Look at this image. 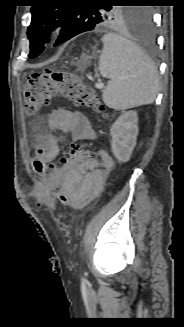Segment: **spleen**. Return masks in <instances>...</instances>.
<instances>
[{"label": "spleen", "instance_id": "spleen-1", "mask_svg": "<svg viewBox=\"0 0 184 327\" xmlns=\"http://www.w3.org/2000/svg\"><path fill=\"white\" fill-rule=\"evenodd\" d=\"M99 71L110 81L104 103L113 109H128L154 102L159 90L158 72L151 60L131 41L113 33L102 38Z\"/></svg>", "mask_w": 184, "mask_h": 327}]
</instances>
